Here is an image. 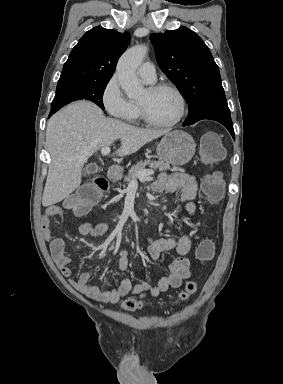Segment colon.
Masks as SVG:
<instances>
[{"label":"colon","mask_w":283,"mask_h":384,"mask_svg":"<svg viewBox=\"0 0 283 384\" xmlns=\"http://www.w3.org/2000/svg\"><path fill=\"white\" fill-rule=\"evenodd\" d=\"M201 159L205 164H214L223 159L224 149L220 135L216 132H207L203 135L200 144ZM107 181L97 178L83 184L70 198L65 201L66 207L75 213H86L93 205L98 203L107 191ZM201 188L205 196L212 202H218L224 194V182L218 172L207 174L201 181ZM197 258L209 261L215 255V245L211 240H203L196 250ZM197 290V284L190 281L179 295V301H186ZM125 310L135 311L142 307V302L136 299H127L122 303Z\"/></svg>","instance_id":"obj_1"}]
</instances>
